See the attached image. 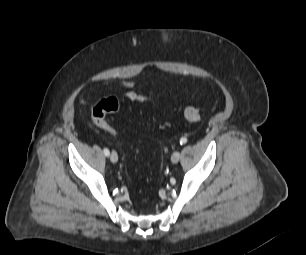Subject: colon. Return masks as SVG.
Here are the masks:
<instances>
[{
    "mask_svg": "<svg viewBox=\"0 0 306 255\" xmlns=\"http://www.w3.org/2000/svg\"><path fill=\"white\" fill-rule=\"evenodd\" d=\"M120 109L121 104L115 97L100 99L91 109V119L99 128L108 131L113 135H118L117 131L106 121L105 116L109 113H116ZM183 115L189 122L199 123L201 121L199 110L193 106L185 107Z\"/></svg>",
    "mask_w": 306,
    "mask_h": 255,
    "instance_id": "obj_1",
    "label": "colon"
}]
</instances>
